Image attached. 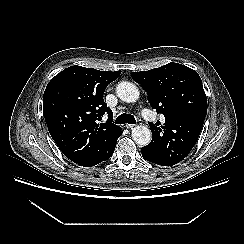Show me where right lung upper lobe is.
<instances>
[{
    "label": "right lung upper lobe",
    "mask_w": 244,
    "mask_h": 244,
    "mask_svg": "<svg viewBox=\"0 0 244 244\" xmlns=\"http://www.w3.org/2000/svg\"><path fill=\"white\" fill-rule=\"evenodd\" d=\"M120 73L71 66L48 83L43 96L45 121L59 149L74 163L103 157L115 142L120 128L112 123L103 94ZM105 113L108 120L99 124Z\"/></svg>",
    "instance_id": "right-lung-upper-lobe-1"
}]
</instances>
